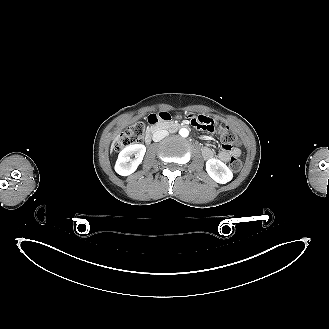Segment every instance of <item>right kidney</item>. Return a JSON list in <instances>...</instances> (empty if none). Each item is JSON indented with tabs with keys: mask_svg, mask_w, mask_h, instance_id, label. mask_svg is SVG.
<instances>
[{
	"mask_svg": "<svg viewBox=\"0 0 329 329\" xmlns=\"http://www.w3.org/2000/svg\"><path fill=\"white\" fill-rule=\"evenodd\" d=\"M145 152L146 146L143 144H133L125 147L118 155L115 171L121 176L132 174L142 162ZM133 154L135 158L130 160V156Z\"/></svg>",
	"mask_w": 329,
	"mask_h": 329,
	"instance_id": "obj_1",
	"label": "right kidney"
}]
</instances>
